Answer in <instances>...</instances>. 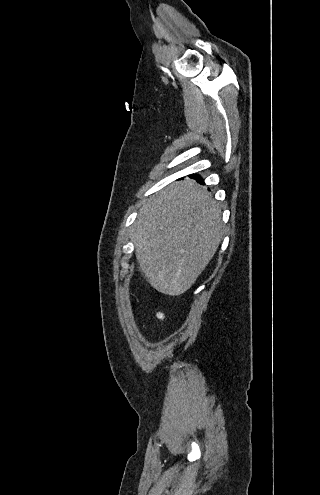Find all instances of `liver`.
I'll return each instance as SVG.
<instances>
[{
    "mask_svg": "<svg viewBox=\"0 0 320 495\" xmlns=\"http://www.w3.org/2000/svg\"><path fill=\"white\" fill-rule=\"evenodd\" d=\"M221 209L194 180L172 183L140 210L132 241L149 284L170 296L187 291L217 251Z\"/></svg>",
    "mask_w": 320,
    "mask_h": 495,
    "instance_id": "obj_1",
    "label": "liver"
}]
</instances>
